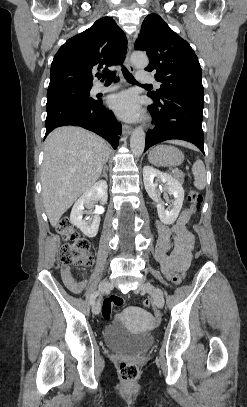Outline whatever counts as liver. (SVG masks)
<instances>
[{
	"label": "liver",
	"mask_w": 247,
	"mask_h": 407,
	"mask_svg": "<svg viewBox=\"0 0 247 407\" xmlns=\"http://www.w3.org/2000/svg\"><path fill=\"white\" fill-rule=\"evenodd\" d=\"M172 143L191 147L180 140ZM109 152L101 137L81 127H59L47 136L41 184L44 208L53 227L98 180Z\"/></svg>",
	"instance_id": "6515ba94"
}]
</instances>
